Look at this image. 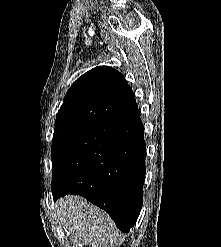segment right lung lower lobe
<instances>
[{"label":"right lung lower lobe","mask_w":221,"mask_h":247,"mask_svg":"<svg viewBox=\"0 0 221 247\" xmlns=\"http://www.w3.org/2000/svg\"><path fill=\"white\" fill-rule=\"evenodd\" d=\"M146 144L138 108L79 134L53 165L54 200L85 197L129 232L143 204Z\"/></svg>","instance_id":"obj_1"}]
</instances>
